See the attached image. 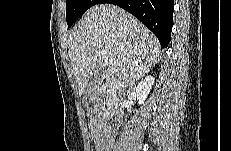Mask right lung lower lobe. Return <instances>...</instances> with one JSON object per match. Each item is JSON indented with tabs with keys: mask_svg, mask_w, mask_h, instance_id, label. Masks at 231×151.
<instances>
[{
	"mask_svg": "<svg viewBox=\"0 0 231 151\" xmlns=\"http://www.w3.org/2000/svg\"><path fill=\"white\" fill-rule=\"evenodd\" d=\"M117 5L138 18L167 47L173 25L174 0H101Z\"/></svg>",
	"mask_w": 231,
	"mask_h": 151,
	"instance_id": "right-lung-lower-lobe-1",
	"label": "right lung lower lobe"
}]
</instances>
